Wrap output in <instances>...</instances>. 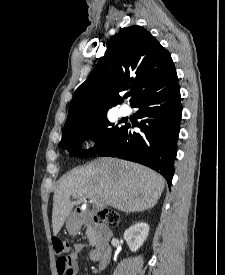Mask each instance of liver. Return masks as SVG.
Here are the masks:
<instances>
[{"mask_svg": "<svg viewBox=\"0 0 225 275\" xmlns=\"http://www.w3.org/2000/svg\"><path fill=\"white\" fill-rule=\"evenodd\" d=\"M164 187V178L150 168L117 158H97L58 181L53 196V234H58L74 206L87 197L123 212H140L157 204Z\"/></svg>", "mask_w": 225, "mask_h": 275, "instance_id": "obj_1", "label": "liver"}]
</instances>
